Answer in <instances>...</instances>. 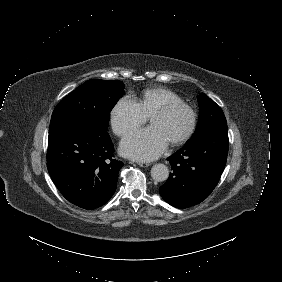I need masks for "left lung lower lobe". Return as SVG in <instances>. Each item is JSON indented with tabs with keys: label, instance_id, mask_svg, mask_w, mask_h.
I'll return each instance as SVG.
<instances>
[{
	"label": "left lung lower lobe",
	"instance_id": "1",
	"mask_svg": "<svg viewBox=\"0 0 282 282\" xmlns=\"http://www.w3.org/2000/svg\"><path fill=\"white\" fill-rule=\"evenodd\" d=\"M228 147L227 124L194 135L181 150L167 159L173 172L159 188L161 197L180 209L202 202L223 173Z\"/></svg>",
	"mask_w": 282,
	"mask_h": 282
}]
</instances>
